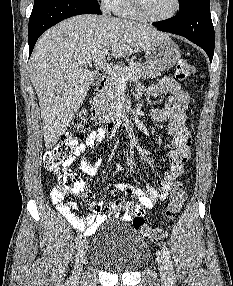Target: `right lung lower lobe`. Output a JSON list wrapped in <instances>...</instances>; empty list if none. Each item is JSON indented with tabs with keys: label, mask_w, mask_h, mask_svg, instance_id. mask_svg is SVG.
Wrapping results in <instances>:
<instances>
[{
	"label": "right lung lower lobe",
	"mask_w": 233,
	"mask_h": 286,
	"mask_svg": "<svg viewBox=\"0 0 233 286\" xmlns=\"http://www.w3.org/2000/svg\"><path fill=\"white\" fill-rule=\"evenodd\" d=\"M80 14H102L100 8L83 0H46L33 8L29 19V55L37 39L48 28L58 22Z\"/></svg>",
	"instance_id": "98d812e1"
}]
</instances>
